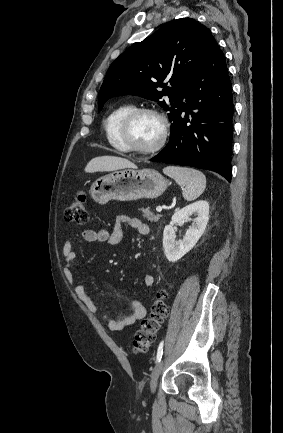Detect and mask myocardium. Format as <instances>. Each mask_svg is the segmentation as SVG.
<instances>
[{
    "instance_id": "obj_1",
    "label": "myocardium",
    "mask_w": 283,
    "mask_h": 433,
    "mask_svg": "<svg viewBox=\"0 0 283 433\" xmlns=\"http://www.w3.org/2000/svg\"><path fill=\"white\" fill-rule=\"evenodd\" d=\"M143 114H153L157 116L162 122L161 138L159 142L156 144V146L152 149H142L137 147V145L134 142H132V140L129 137V133L135 119ZM169 131H170V122L166 114H164V112H162L161 110L155 107L142 106V107H136L131 109L122 118L119 126L118 137L121 144L124 146V148L127 151L144 157H154L157 156L159 153H161L165 148Z\"/></svg>"
}]
</instances>
